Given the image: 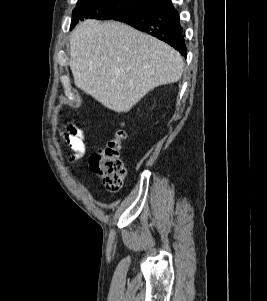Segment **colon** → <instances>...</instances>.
<instances>
[{"label": "colon", "instance_id": "1", "mask_svg": "<svg viewBox=\"0 0 267 301\" xmlns=\"http://www.w3.org/2000/svg\"><path fill=\"white\" fill-rule=\"evenodd\" d=\"M126 138L124 129H119L115 136L89 159L92 171L100 174L105 187L111 192L121 189L126 174L122 159V144Z\"/></svg>", "mask_w": 267, "mask_h": 301}]
</instances>
